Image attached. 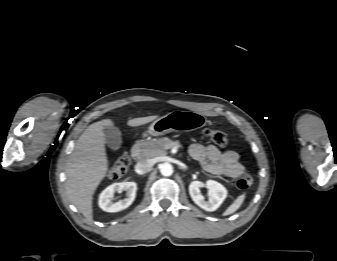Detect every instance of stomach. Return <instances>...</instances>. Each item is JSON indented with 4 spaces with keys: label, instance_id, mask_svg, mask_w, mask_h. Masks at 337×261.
Listing matches in <instances>:
<instances>
[{
    "label": "stomach",
    "instance_id": "1",
    "mask_svg": "<svg viewBox=\"0 0 337 261\" xmlns=\"http://www.w3.org/2000/svg\"><path fill=\"white\" fill-rule=\"evenodd\" d=\"M204 115L194 111L176 110L155 120L144 135L161 136L170 132H190L207 124Z\"/></svg>",
    "mask_w": 337,
    "mask_h": 261
}]
</instances>
